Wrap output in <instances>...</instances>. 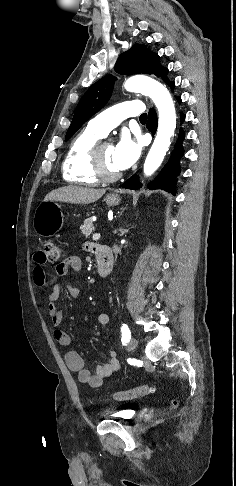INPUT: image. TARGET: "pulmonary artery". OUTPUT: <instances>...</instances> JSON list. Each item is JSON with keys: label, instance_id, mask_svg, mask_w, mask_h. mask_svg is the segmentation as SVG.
Wrapping results in <instances>:
<instances>
[{"label": "pulmonary artery", "instance_id": "obj_1", "mask_svg": "<svg viewBox=\"0 0 236 486\" xmlns=\"http://www.w3.org/2000/svg\"><path fill=\"white\" fill-rule=\"evenodd\" d=\"M145 111L139 100L125 101L98 114L88 123V128L102 137L128 117L141 116Z\"/></svg>", "mask_w": 236, "mask_h": 486}]
</instances>
